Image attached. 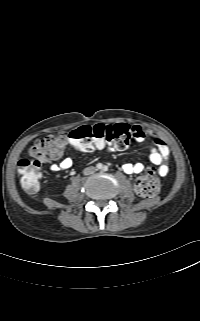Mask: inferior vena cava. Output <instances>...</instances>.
<instances>
[{"label":"inferior vena cava","instance_id":"obj_1","mask_svg":"<svg viewBox=\"0 0 200 321\" xmlns=\"http://www.w3.org/2000/svg\"><path fill=\"white\" fill-rule=\"evenodd\" d=\"M96 171L95 167H87L83 170L84 175L93 174Z\"/></svg>","mask_w":200,"mask_h":321}]
</instances>
